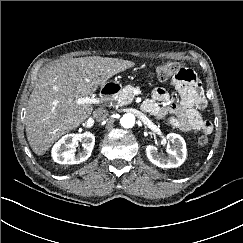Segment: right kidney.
<instances>
[{
  "label": "right kidney",
  "instance_id": "right-kidney-1",
  "mask_svg": "<svg viewBox=\"0 0 243 243\" xmlns=\"http://www.w3.org/2000/svg\"><path fill=\"white\" fill-rule=\"evenodd\" d=\"M78 141L82 142L83 149L75 153ZM95 136L90 132L82 134H67L63 136L52 148V158L59 164H79L86 161L92 153Z\"/></svg>",
  "mask_w": 243,
  "mask_h": 243
}]
</instances>
